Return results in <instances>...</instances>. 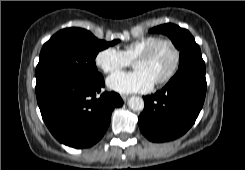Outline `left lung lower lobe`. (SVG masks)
<instances>
[{"label": "left lung lower lobe", "instance_id": "1", "mask_svg": "<svg viewBox=\"0 0 245 170\" xmlns=\"http://www.w3.org/2000/svg\"><path fill=\"white\" fill-rule=\"evenodd\" d=\"M206 86L205 73L181 72L161 91L144 97L138 118L143 135L152 142H166L186 133L202 109Z\"/></svg>", "mask_w": 245, "mask_h": 170}]
</instances>
